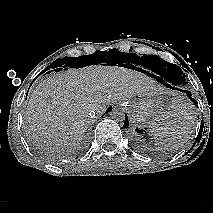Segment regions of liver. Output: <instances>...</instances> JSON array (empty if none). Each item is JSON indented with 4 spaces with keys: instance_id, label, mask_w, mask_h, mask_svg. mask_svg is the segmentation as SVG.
Here are the masks:
<instances>
[{
    "instance_id": "1",
    "label": "liver",
    "mask_w": 213,
    "mask_h": 213,
    "mask_svg": "<svg viewBox=\"0 0 213 213\" xmlns=\"http://www.w3.org/2000/svg\"><path fill=\"white\" fill-rule=\"evenodd\" d=\"M164 89L151 77L117 66L93 65L55 73L41 80L26 101L28 136L49 154L70 153L83 139L89 112L108 104Z\"/></svg>"
}]
</instances>
